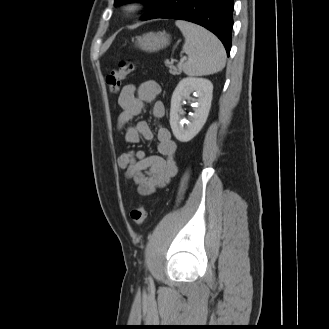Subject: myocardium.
I'll list each match as a JSON object with an SVG mask.
<instances>
[{"mask_svg":"<svg viewBox=\"0 0 329 329\" xmlns=\"http://www.w3.org/2000/svg\"><path fill=\"white\" fill-rule=\"evenodd\" d=\"M145 7L143 0H129L123 5L124 11L127 13H136Z\"/></svg>","mask_w":329,"mask_h":329,"instance_id":"myocardium-1","label":"myocardium"}]
</instances>
